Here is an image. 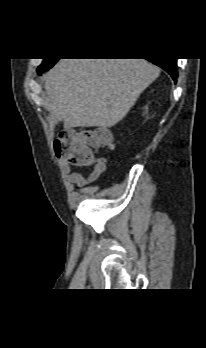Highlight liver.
<instances>
[{
	"label": "liver",
	"instance_id": "liver-1",
	"mask_svg": "<svg viewBox=\"0 0 206 348\" xmlns=\"http://www.w3.org/2000/svg\"><path fill=\"white\" fill-rule=\"evenodd\" d=\"M159 75L145 59H60L45 76V90L65 127L105 129L121 121Z\"/></svg>",
	"mask_w": 206,
	"mask_h": 348
}]
</instances>
